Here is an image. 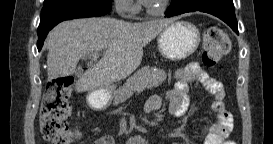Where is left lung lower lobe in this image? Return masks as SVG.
<instances>
[{
	"label": "left lung lower lobe",
	"mask_w": 273,
	"mask_h": 144,
	"mask_svg": "<svg viewBox=\"0 0 273 144\" xmlns=\"http://www.w3.org/2000/svg\"><path fill=\"white\" fill-rule=\"evenodd\" d=\"M194 11L217 16L238 34L233 0H172L171 5L165 12V16L172 17Z\"/></svg>",
	"instance_id": "0a47b994"
}]
</instances>
